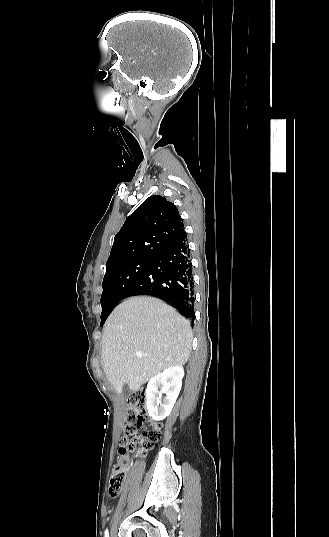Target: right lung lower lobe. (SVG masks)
Here are the masks:
<instances>
[{
	"instance_id": "98d812e1",
	"label": "right lung lower lobe",
	"mask_w": 329,
	"mask_h": 537,
	"mask_svg": "<svg viewBox=\"0 0 329 537\" xmlns=\"http://www.w3.org/2000/svg\"><path fill=\"white\" fill-rule=\"evenodd\" d=\"M135 295L163 299L193 319L194 282L186 234L151 261L124 298Z\"/></svg>"
}]
</instances>
